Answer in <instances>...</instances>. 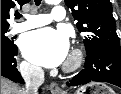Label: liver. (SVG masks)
Masks as SVG:
<instances>
[{"instance_id": "6515ba94", "label": "liver", "mask_w": 121, "mask_h": 94, "mask_svg": "<svg viewBox=\"0 0 121 94\" xmlns=\"http://www.w3.org/2000/svg\"><path fill=\"white\" fill-rule=\"evenodd\" d=\"M1 94H22V90L17 84L1 76Z\"/></svg>"}]
</instances>
